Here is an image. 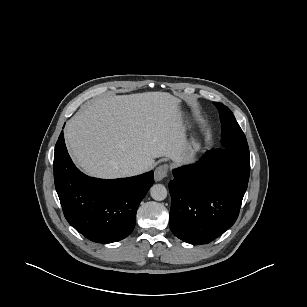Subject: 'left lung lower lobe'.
<instances>
[{
    "mask_svg": "<svg viewBox=\"0 0 307 307\" xmlns=\"http://www.w3.org/2000/svg\"><path fill=\"white\" fill-rule=\"evenodd\" d=\"M169 225L179 239L206 244L236 221L246 192L250 155L209 150L195 164L172 171Z\"/></svg>",
    "mask_w": 307,
    "mask_h": 307,
    "instance_id": "left-lung-lower-lobe-1",
    "label": "left lung lower lobe"
}]
</instances>
